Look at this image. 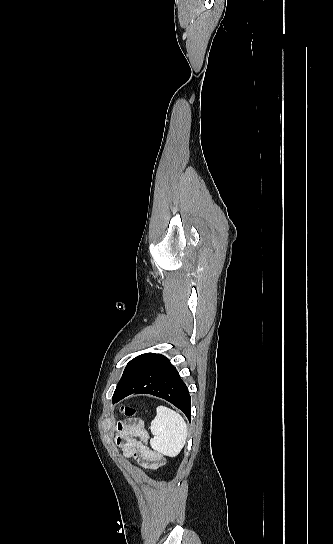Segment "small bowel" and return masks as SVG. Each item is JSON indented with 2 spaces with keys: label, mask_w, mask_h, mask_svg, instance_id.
Masks as SVG:
<instances>
[{
  "label": "small bowel",
  "mask_w": 333,
  "mask_h": 544,
  "mask_svg": "<svg viewBox=\"0 0 333 544\" xmlns=\"http://www.w3.org/2000/svg\"><path fill=\"white\" fill-rule=\"evenodd\" d=\"M116 442L127 458H135L143 467L157 469L164 464L161 454L148 445L149 435L138 424L117 426Z\"/></svg>",
  "instance_id": "obj_1"
}]
</instances>
